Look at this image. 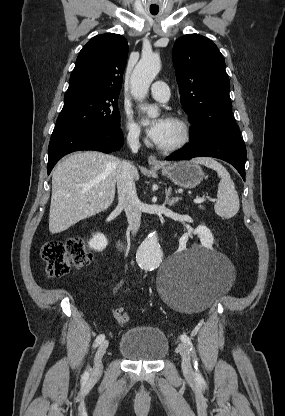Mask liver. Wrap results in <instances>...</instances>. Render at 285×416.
<instances>
[{
    "label": "liver",
    "instance_id": "liver-1",
    "mask_svg": "<svg viewBox=\"0 0 285 416\" xmlns=\"http://www.w3.org/2000/svg\"><path fill=\"white\" fill-rule=\"evenodd\" d=\"M120 160L101 152H74L52 176L49 232L59 234L113 204ZM134 180H139L133 168ZM102 194V196H100Z\"/></svg>",
    "mask_w": 285,
    "mask_h": 416
}]
</instances>
